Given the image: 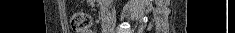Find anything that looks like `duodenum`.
Listing matches in <instances>:
<instances>
[{
	"label": "duodenum",
	"instance_id": "obj_1",
	"mask_svg": "<svg viewBox=\"0 0 235 33\" xmlns=\"http://www.w3.org/2000/svg\"><path fill=\"white\" fill-rule=\"evenodd\" d=\"M103 28H104V32H106V33H107L108 24H107V23H104V24H103Z\"/></svg>",
	"mask_w": 235,
	"mask_h": 33
}]
</instances>
